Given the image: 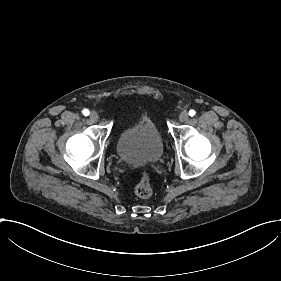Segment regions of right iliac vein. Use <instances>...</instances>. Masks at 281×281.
<instances>
[{
    "label": "right iliac vein",
    "mask_w": 281,
    "mask_h": 281,
    "mask_svg": "<svg viewBox=\"0 0 281 281\" xmlns=\"http://www.w3.org/2000/svg\"><path fill=\"white\" fill-rule=\"evenodd\" d=\"M90 119H91V121L96 122V121H98L99 116H98V114L93 113V114H91Z\"/></svg>",
    "instance_id": "63e3f726"
}]
</instances>
